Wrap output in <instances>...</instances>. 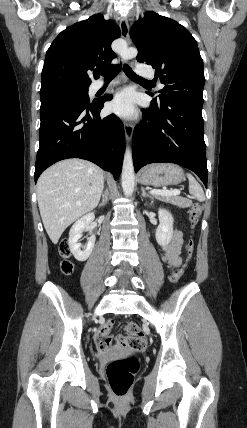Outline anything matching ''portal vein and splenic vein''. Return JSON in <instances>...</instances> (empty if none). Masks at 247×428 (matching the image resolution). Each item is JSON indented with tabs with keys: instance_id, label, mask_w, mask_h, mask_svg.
<instances>
[{
	"instance_id": "18ae733b",
	"label": "portal vein and splenic vein",
	"mask_w": 247,
	"mask_h": 428,
	"mask_svg": "<svg viewBox=\"0 0 247 428\" xmlns=\"http://www.w3.org/2000/svg\"><path fill=\"white\" fill-rule=\"evenodd\" d=\"M151 194L154 195H163V196H176L180 194V190L174 189V190H151Z\"/></svg>"
}]
</instances>
